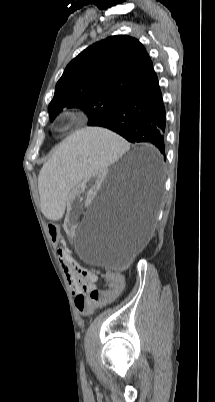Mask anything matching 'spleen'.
<instances>
[{"instance_id": "obj_1", "label": "spleen", "mask_w": 215, "mask_h": 402, "mask_svg": "<svg viewBox=\"0 0 215 402\" xmlns=\"http://www.w3.org/2000/svg\"><path fill=\"white\" fill-rule=\"evenodd\" d=\"M128 149L125 141L107 128H77L63 141L45 165L40 178L41 209L50 219H59L66 207V193L86 175L104 169Z\"/></svg>"}]
</instances>
